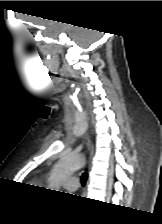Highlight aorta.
Returning a JSON list of instances; mask_svg holds the SVG:
<instances>
[{
	"label": "aorta",
	"mask_w": 162,
	"mask_h": 224,
	"mask_svg": "<svg viewBox=\"0 0 162 224\" xmlns=\"http://www.w3.org/2000/svg\"><path fill=\"white\" fill-rule=\"evenodd\" d=\"M85 164V159L80 154H68L63 156L54 168L50 181V188L59 189L61 181L71 176Z\"/></svg>",
	"instance_id": "1"
}]
</instances>
